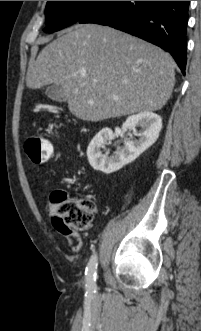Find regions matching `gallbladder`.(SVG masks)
Wrapping results in <instances>:
<instances>
[{
	"label": "gallbladder",
	"instance_id": "gallbladder-1",
	"mask_svg": "<svg viewBox=\"0 0 201 331\" xmlns=\"http://www.w3.org/2000/svg\"><path fill=\"white\" fill-rule=\"evenodd\" d=\"M45 94L54 101L65 102L67 100L63 88L57 84L47 87Z\"/></svg>",
	"mask_w": 201,
	"mask_h": 331
}]
</instances>
